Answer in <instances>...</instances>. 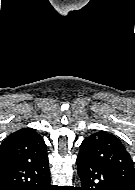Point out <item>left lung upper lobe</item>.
<instances>
[{
    "instance_id": "left-lung-upper-lobe-1",
    "label": "left lung upper lobe",
    "mask_w": 135,
    "mask_h": 190,
    "mask_svg": "<svg viewBox=\"0 0 135 190\" xmlns=\"http://www.w3.org/2000/svg\"><path fill=\"white\" fill-rule=\"evenodd\" d=\"M78 157L110 169L131 190H135L133 161L114 135L103 131L90 135L81 143Z\"/></svg>"
}]
</instances>
